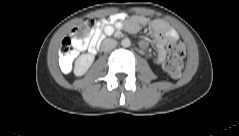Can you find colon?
<instances>
[{
    "instance_id": "5ec220e1",
    "label": "colon",
    "mask_w": 239,
    "mask_h": 136,
    "mask_svg": "<svg viewBox=\"0 0 239 136\" xmlns=\"http://www.w3.org/2000/svg\"><path fill=\"white\" fill-rule=\"evenodd\" d=\"M96 20L91 18L75 26L68 37H65L59 48L60 67L68 71L75 55V44L88 38ZM185 57V47L181 42H174L169 49V58L164 64V70L172 77L177 78L182 74Z\"/></svg>"
}]
</instances>
